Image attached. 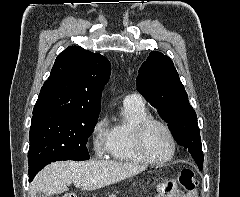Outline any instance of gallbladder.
<instances>
[{
  "label": "gallbladder",
  "instance_id": "obj_1",
  "mask_svg": "<svg viewBox=\"0 0 240 197\" xmlns=\"http://www.w3.org/2000/svg\"><path fill=\"white\" fill-rule=\"evenodd\" d=\"M36 197H47V196L42 192H37Z\"/></svg>",
  "mask_w": 240,
  "mask_h": 197
}]
</instances>
